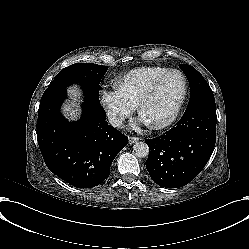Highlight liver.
Listing matches in <instances>:
<instances>
[{
	"instance_id": "6515ba94",
	"label": "liver",
	"mask_w": 249,
	"mask_h": 249,
	"mask_svg": "<svg viewBox=\"0 0 249 249\" xmlns=\"http://www.w3.org/2000/svg\"><path fill=\"white\" fill-rule=\"evenodd\" d=\"M68 100L62 104L61 112L70 121H76L81 116L79 108L83 91L78 85H72L67 89Z\"/></svg>"
}]
</instances>
